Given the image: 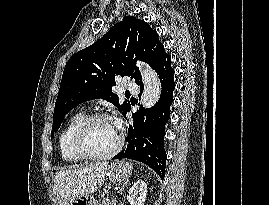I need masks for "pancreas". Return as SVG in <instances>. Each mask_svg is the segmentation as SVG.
<instances>
[{
    "label": "pancreas",
    "instance_id": "cf45deb5",
    "mask_svg": "<svg viewBox=\"0 0 269 205\" xmlns=\"http://www.w3.org/2000/svg\"><path fill=\"white\" fill-rule=\"evenodd\" d=\"M97 205H113V200L104 198L101 202H98Z\"/></svg>",
    "mask_w": 269,
    "mask_h": 205
}]
</instances>
